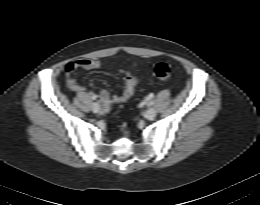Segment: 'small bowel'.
I'll list each match as a JSON object with an SVG mask.
<instances>
[{
    "label": "small bowel",
    "mask_w": 260,
    "mask_h": 205,
    "mask_svg": "<svg viewBox=\"0 0 260 205\" xmlns=\"http://www.w3.org/2000/svg\"><path fill=\"white\" fill-rule=\"evenodd\" d=\"M100 62L95 59L83 58L76 61L69 62L65 67V81L67 87L74 92H83L85 87L75 79V71L79 68L94 70L99 68ZM122 76L124 89L122 92L110 96L107 90H101L98 94L100 102L105 108L113 104H118L128 100L135 92L137 86V78L135 75L125 70H120ZM93 96V95H92Z\"/></svg>",
    "instance_id": "1"
}]
</instances>
